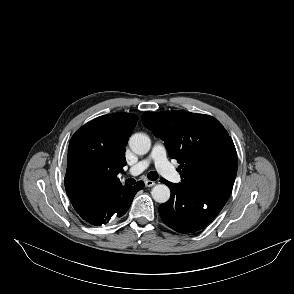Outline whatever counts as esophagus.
<instances>
[{
    "instance_id": "obj_1",
    "label": "esophagus",
    "mask_w": 294,
    "mask_h": 294,
    "mask_svg": "<svg viewBox=\"0 0 294 294\" xmlns=\"http://www.w3.org/2000/svg\"><path fill=\"white\" fill-rule=\"evenodd\" d=\"M145 186L146 187H152L155 185V182L154 181H151V180H145Z\"/></svg>"
}]
</instances>
